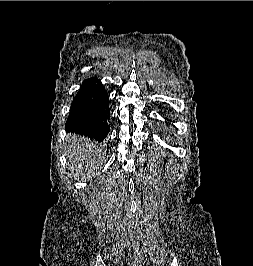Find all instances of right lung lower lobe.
Listing matches in <instances>:
<instances>
[{
  "mask_svg": "<svg viewBox=\"0 0 253 266\" xmlns=\"http://www.w3.org/2000/svg\"><path fill=\"white\" fill-rule=\"evenodd\" d=\"M108 100V93L97 77L84 80L72 101L66 131L105 142L110 130Z\"/></svg>",
  "mask_w": 253,
  "mask_h": 266,
  "instance_id": "1",
  "label": "right lung lower lobe"
}]
</instances>
